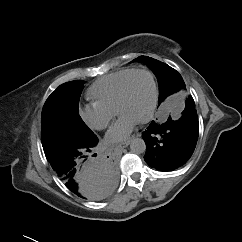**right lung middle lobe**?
<instances>
[{"instance_id":"dd1d6c3e","label":"right lung middle lobe","mask_w":242,"mask_h":242,"mask_svg":"<svg viewBox=\"0 0 242 242\" xmlns=\"http://www.w3.org/2000/svg\"><path fill=\"white\" fill-rule=\"evenodd\" d=\"M84 83L83 80L64 83L46 100L41 116L42 146L46 158L95 137L78 112Z\"/></svg>"}]
</instances>
